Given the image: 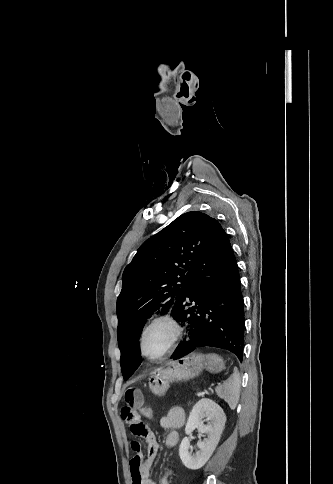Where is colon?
Listing matches in <instances>:
<instances>
[{"instance_id": "obj_1", "label": "colon", "mask_w": 333, "mask_h": 484, "mask_svg": "<svg viewBox=\"0 0 333 484\" xmlns=\"http://www.w3.org/2000/svg\"><path fill=\"white\" fill-rule=\"evenodd\" d=\"M142 416L148 420H151L154 418L155 413L151 407L144 406L141 410Z\"/></svg>"}]
</instances>
